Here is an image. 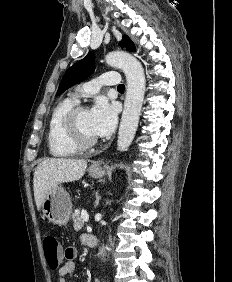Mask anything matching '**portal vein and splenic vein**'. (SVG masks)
<instances>
[{
  "instance_id": "portal-vein-and-splenic-vein-1",
  "label": "portal vein and splenic vein",
  "mask_w": 232,
  "mask_h": 282,
  "mask_svg": "<svg viewBox=\"0 0 232 282\" xmlns=\"http://www.w3.org/2000/svg\"><path fill=\"white\" fill-rule=\"evenodd\" d=\"M81 216H82L84 221H88L89 220V215H88V213L86 211L83 210L81 212Z\"/></svg>"
}]
</instances>
